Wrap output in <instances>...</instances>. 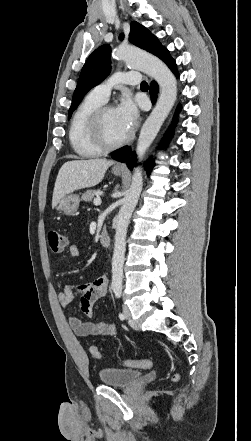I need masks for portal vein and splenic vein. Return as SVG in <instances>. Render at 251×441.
Instances as JSON below:
<instances>
[{"instance_id": "1", "label": "portal vein and splenic vein", "mask_w": 251, "mask_h": 441, "mask_svg": "<svg viewBox=\"0 0 251 441\" xmlns=\"http://www.w3.org/2000/svg\"><path fill=\"white\" fill-rule=\"evenodd\" d=\"M93 203H94L95 206H98V205L101 204V199L100 198H95Z\"/></svg>"}]
</instances>
